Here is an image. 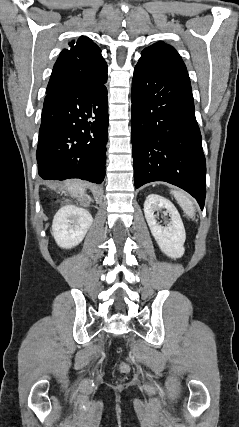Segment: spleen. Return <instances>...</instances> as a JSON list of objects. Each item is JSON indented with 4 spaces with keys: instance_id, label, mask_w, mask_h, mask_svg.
I'll return each mask as SVG.
<instances>
[{
    "instance_id": "spleen-1",
    "label": "spleen",
    "mask_w": 239,
    "mask_h": 427,
    "mask_svg": "<svg viewBox=\"0 0 239 427\" xmlns=\"http://www.w3.org/2000/svg\"><path fill=\"white\" fill-rule=\"evenodd\" d=\"M171 194H173L184 213L190 218H193L195 216V208L190 198L178 190H171Z\"/></svg>"
}]
</instances>
